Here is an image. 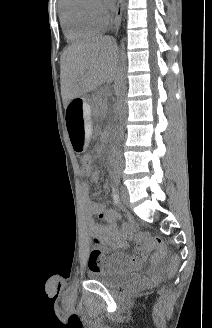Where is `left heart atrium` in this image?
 I'll use <instances>...</instances> for the list:
<instances>
[{"label":"left heart atrium","mask_w":212,"mask_h":328,"mask_svg":"<svg viewBox=\"0 0 212 328\" xmlns=\"http://www.w3.org/2000/svg\"><path fill=\"white\" fill-rule=\"evenodd\" d=\"M114 0H108L109 3H112Z\"/></svg>","instance_id":"left-heart-atrium-1"}]
</instances>
